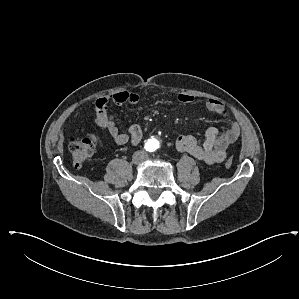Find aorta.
Returning <instances> with one entry per match:
<instances>
[{"mask_svg": "<svg viewBox=\"0 0 299 299\" xmlns=\"http://www.w3.org/2000/svg\"><path fill=\"white\" fill-rule=\"evenodd\" d=\"M160 146V141L156 137H151L146 142V148L150 151H156Z\"/></svg>", "mask_w": 299, "mask_h": 299, "instance_id": "obj_1", "label": "aorta"}]
</instances>
